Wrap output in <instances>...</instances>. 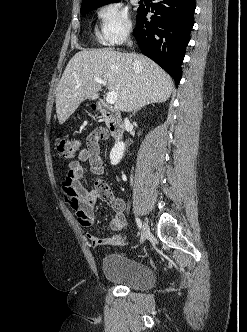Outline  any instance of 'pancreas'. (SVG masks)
<instances>
[{"mask_svg":"<svg viewBox=\"0 0 247 332\" xmlns=\"http://www.w3.org/2000/svg\"><path fill=\"white\" fill-rule=\"evenodd\" d=\"M105 123H106V125L108 126L109 122H108L107 120L105 121Z\"/></svg>","mask_w":247,"mask_h":332,"instance_id":"obj_1","label":"pancreas"}]
</instances>
